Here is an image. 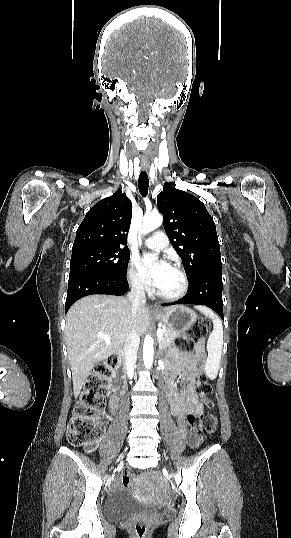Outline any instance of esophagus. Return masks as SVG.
I'll return each instance as SVG.
<instances>
[{
    "label": "esophagus",
    "instance_id": "obj_1",
    "mask_svg": "<svg viewBox=\"0 0 291 538\" xmlns=\"http://www.w3.org/2000/svg\"><path fill=\"white\" fill-rule=\"evenodd\" d=\"M142 169H143L144 171H147V170H148V165H147V164L142 165Z\"/></svg>",
    "mask_w": 291,
    "mask_h": 538
}]
</instances>
